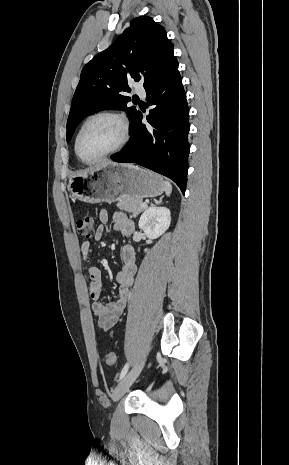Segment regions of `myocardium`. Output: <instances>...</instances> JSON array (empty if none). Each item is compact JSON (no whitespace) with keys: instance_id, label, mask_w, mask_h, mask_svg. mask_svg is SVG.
<instances>
[{"instance_id":"1","label":"myocardium","mask_w":289,"mask_h":465,"mask_svg":"<svg viewBox=\"0 0 289 465\" xmlns=\"http://www.w3.org/2000/svg\"><path fill=\"white\" fill-rule=\"evenodd\" d=\"M99 117H107V118H110V119H113L114 121H116L120 125L121 132H122V137H121V140L118 143V145L115 146L113 149H111L109 151H106L105 153H103V154L99 155L98 157L93 158L91 160H85V159H83L81 157V155L79 153V149H78L79 139H80V136H81L84 128L86 127V125L90 121H92L93 119H96V118H99ZM129 138H130V130H129V123H128V120L126 119V117L122 113L114 111V110L101 109V110L95 111L92 114H90L89 116H87L86 119L82 122V124H81L80 128L78 129L77 134L75 136L74 151H75V154H76V156L78 157V159L80 161H82L85 164H93V163L98 162L99 160H101L103 158H106V157H108L110 155H113V154L119 152L120 150H122L126 146V144L128 143Z\"/></svg>"}]
</instances>
